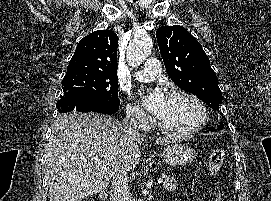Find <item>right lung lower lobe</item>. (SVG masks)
I'll use <instances>...</instances> for the list:
<instances>
[{"instance_id": "obj_1", "label": "right lung lower lobe", "mask_w": 271, "mask_h": 201, "mask_svg": "<svg viewBox=\"0 0 271 201\" xmlns=\"http://www.w3.org/2000/svg\"><path fill=\"white\" fill-rule=\"evenodd\" d=\"M120 101L116 100H92L78 96H61L56 103V108L60 113L79 111V112H98L104 114H114L119 109Z\"/></svg>"}]
</instances>
